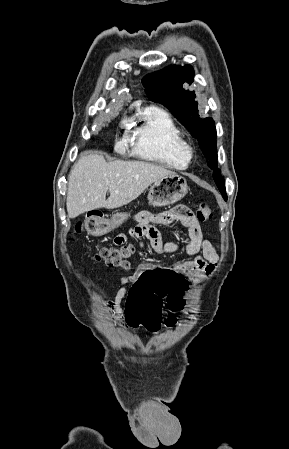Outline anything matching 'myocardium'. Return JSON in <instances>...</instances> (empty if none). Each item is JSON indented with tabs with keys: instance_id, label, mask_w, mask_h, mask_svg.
<instances>
[{
	"instance_id": "obj_1",
	"label": "myocardium",
	"mask_w": 289,
	"mask_h": 449,
	"mask_svg": "<svg viewBox=\"0 0 289 449\" xmlns=\"http://www.w3.org/2000/svg\"><path fill=\"white\" fill-rule=\"evenodd\" d=\"M180 151L182 153V155L184 157H186L189 161L193 158L194 156V148L193 146L188 143L187 141H185L184 139L180 142L179 145Z\"/></svg>"
}]
</instances>
